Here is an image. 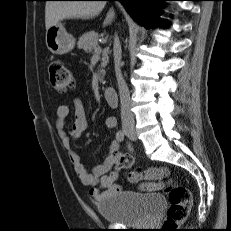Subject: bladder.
Wrapping results in <instances>:
<instances>
[{"label":"bladder","instance_id":"bladder-1","mask_svg":"<svg viewBox=\"0 0 231 231\" xmlns=\"http://www.w3.org/2000/svg\"><path fill=\"white\" fill-rule=\"evenodd\" d=\"M162 195L116 193L102 199L97 209L108 222L124 226L145 225L156 219L165 209Z\"/></svg>","mask_w":231,"mask_h":231}]
</instances>
